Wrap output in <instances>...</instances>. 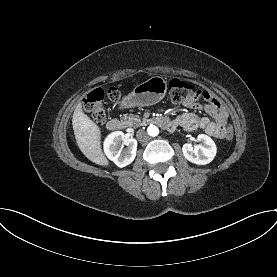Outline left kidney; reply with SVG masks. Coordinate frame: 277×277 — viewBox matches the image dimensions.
I'll return each mask as SVG.
<instances>
[{"mask_svg":"<svg viewBox=\"0 0 277 277\" xmlns=\"http://www.w3.org/2000/svg\"><path fill=\"white\" fill-rule=\"evenodd\" d=\"M200 145L192 147L191 144H184L182 147V152L184 157L197 165H206L209 164L217 153V147L215 142L205 134H199L197 136Z\"/></svg>","mask_w":277,"mask_h":277,"instance_id":"1","label":"left kidney"}]
</instances>
